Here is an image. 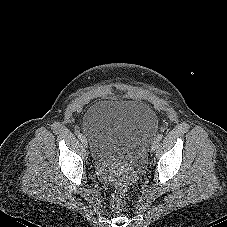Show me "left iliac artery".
Segmentation results:
<instances>
[{
	"label": "left iliac artery",
	"mask_w": 227,
	"mask_h": 227,
	"mask_svg": "<svg viewBox=\"0 0 227 227\" xmlns=\"http://www.w3.org/2000/svg\"><path fill=\"white\" fill-rule=\"evenodd\" d=\"M162 138H163V135H162V134H159V135L157 136V140H158V141L162 140Z\"/></svg>",
	"instance_id": "44dca946"
}]
</instances>
